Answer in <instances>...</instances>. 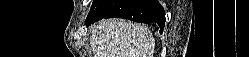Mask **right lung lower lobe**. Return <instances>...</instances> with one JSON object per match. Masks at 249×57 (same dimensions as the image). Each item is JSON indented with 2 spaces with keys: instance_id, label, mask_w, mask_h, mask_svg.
Here are the masks:
<instances>
[{
  "instance_id": "obj_1",
  "label": "right lung lower lobe",
  "mask_w": 249,
  "mask_h": 57,
  "mask_svg": "<svg viewBox=\"0 0 249 57\" xmlns=\"http://www.w3.org/2000/svg\"><path fill=\"white\" fill-rule=\"evenodd\" d=\"M111 17L142 23L156 22L161 29L165 26L164 9L158 0H94L86 24Z\"/></svg>"
}]
</instances>
